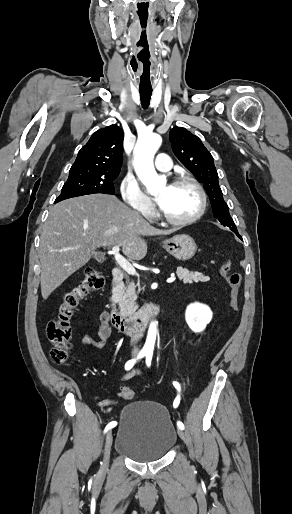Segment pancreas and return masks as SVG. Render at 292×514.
Wrapping results in <instances>:
<instances>
[{
  "label": "pancreas",
  "instance_id": "1",
  "mask_svg": "<svg viewBox=\"0 0 292 514\" xmlns=\"http://www.w3.org/2000/svg\"><path fill=\"white\" fill-rule=\"evenodd\" d=\"M176 274L179 280H183L184 284L208 282L209 280L207 276H203L200 272H189V270H185V268H177ZM126 284V288H124L123 284H118L114 294V302L118 304L121 316H131V314H134L137 308L135 304L137 294H139L141 290V288H139V292H135L136 286L134 282H126ZM137 286H140V284H137Z\"/></svg>",
  "mask_w": 292,
  "mask_h": 514
}]
</instances>
